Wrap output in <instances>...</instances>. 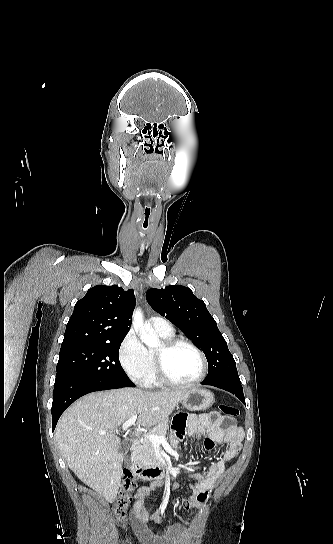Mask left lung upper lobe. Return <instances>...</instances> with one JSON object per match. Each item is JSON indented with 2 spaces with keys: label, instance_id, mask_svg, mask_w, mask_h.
I'll return each mask as SVG.
<instances>
[{
  "label": "left lung upper lobe",
  "instance_id": "5c2ea615",
  "mask_svg": "<svg viewBox=\"0 0 333 544\" xmlns=\"http://www.w3.org/2000/svg\"><path fill=\"white\" fill-rule=\"evenodd\" d=\"M146 299L160 315L166 317L203 350L209 365L205 382L222 379L238 380L235 360L217 323L206 308L185 286L149 289Z\"/></svg>",
  "mask_w": 333,
  "mask_h": 544
}]
</instances>
